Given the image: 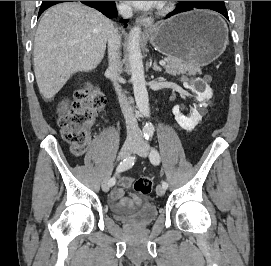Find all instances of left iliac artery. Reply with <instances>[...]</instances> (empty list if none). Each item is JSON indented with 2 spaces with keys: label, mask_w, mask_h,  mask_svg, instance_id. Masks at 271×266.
<instances>
[{
  "label": "left iliac artery",
  "mask_w": 271,
  "mask_h": 266,
  "mask_svg": "<svg viewBox=\"0 0 271 266\" xmlns=\"http://www.w3.org/2000/svg\"><path fill=\"white\" fill-rule=\"evenodd\" d=\"M150 161L153 165H158L160 163V155L158 153V151L155 148L151 149L150 152ZM162 186L167 189L168 188V184L167 182L163 181L162 182Z\"/></svg>",
  "instance_id": "44dca946"
}]
</instances>
